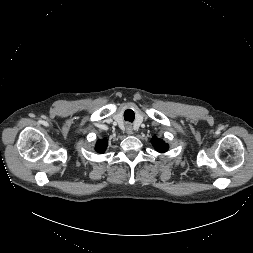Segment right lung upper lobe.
Segmentation results:
<instances>
[{"instance_id": "cb5924a9", "label": "right lung upper lobe", "mask_w": 253, "mask_h": 253, "mask_svg": "<svg viewBox=\"0 0 253 253\" xmlns=\"http://www.w3.org/2000/svg\"><path fill=\"white\" fill-rule=\"evenodd\" d=\"M107 144L108 142L106 139L98 141L96 145V150L100 153H103L107 148Z\"/></svg>"}]
</instances>
